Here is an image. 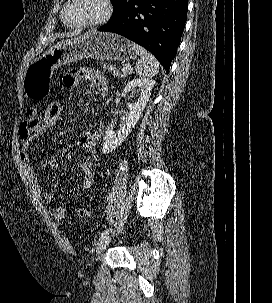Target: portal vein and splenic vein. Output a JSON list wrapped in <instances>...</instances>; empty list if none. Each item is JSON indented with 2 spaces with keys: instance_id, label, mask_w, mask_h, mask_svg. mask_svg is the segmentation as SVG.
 I'll return each instance as SVG.
<instances>
[{
  "instance_id": "1",
  "label": "portal vein and splenic vein",
  "mask_w": 272,
  "mask_h": 303,
  "mask_svg": "<svg viewBox=\"0 0 272 303\" xmlns=\"http://www.w3.org/2000/svg\"><path fill=\"white\" fill-rule=\"evenodd\" d=\"M124 68H125V69H130V68H131V65H130V64H125V65H124Z\"/></svg>"
}]
</instances>
